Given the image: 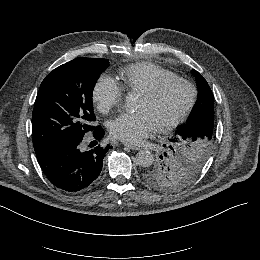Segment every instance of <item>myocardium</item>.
Segmentation results:
<instances>
[{
    "label": "myocardium",
    "instance_id": "myocardium-1",
    "mask_svg": "<svg viewBox=\"0 0 260 260\" xmlns=\"http://www.w3.org/2000/svg\"><path fill=\"white\" fill-rule=\"evenodd\" d=\"M172 83H181L186 87H188L190 90V99L186 107L177 116H175L169 121H166L156 126L157 130L159 131L169 130L182 123L190 115L197 101V97H198L197 87L192 82H190L189 80L181 76L164 78L160 80L154 87L144 90L140 93L149 98H155L158 97L160 94H162L165 91V89Z\"/></svg>",
    "mask_w": 260,
    "mask_h": 260
}]
</instances>
